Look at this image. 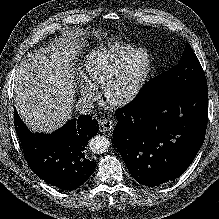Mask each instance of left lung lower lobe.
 I'll return each instance as SVG.
<instances>
[{"label":"left lung lower lobe","instance_id":"left-lung-lower-lobe-1","mask_svg":"<svg viewBox=\"0 0 219 219\" xmlns=\"http://www.w3.org/2000/svg\"><path fill=\"white\" fill-rule=\"evenodd\" d=\"M113 143L140 184L154 187L182 175L205 139L207 87L174 92L116 111Z\"/></svg>","mask_w":219,"mask_h":219}]
</instances>
